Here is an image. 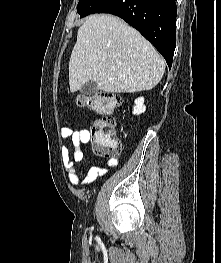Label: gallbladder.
I'll list each match as a JSON object with an SVG mask.
<instances>
[{"label":"gallbladder","mask_w":221,"mask_h":263,"mask_svg":"<svg viewBox=\"0 0 221 263\" xmlns=\"http://www.w3.org/2000/svg\"><path fill=\"white\" fill-rule=\"evenodd\" d=\"M98 92L97 84L93 81L86 82L81 88L80 93L82 95H93Z\"/></svg>","instance_id":"bac80fb5"}]
</instances>
